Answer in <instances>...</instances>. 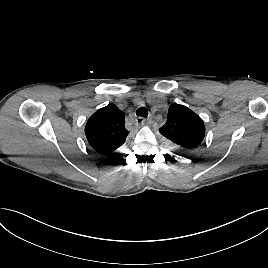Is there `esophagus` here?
Listing matches in <instances>:
<instances>
[{"mask_svg":"<svg viewBox=\"0 0 268 268\" xmlns=\"http://www.w3.org/2000/svg\"><path fill=\"white\" fill-rule=\"evenodd\" d=\"M136 124H139V125H145L146 124V119L145 118H143V117H138L137 119H136Z\"/></svg>","mask_w":268,"mask_h":268,"instance_id":"obj_1","label":"esophagus"}]
</instances>
